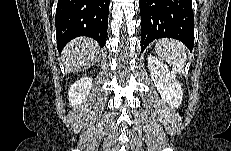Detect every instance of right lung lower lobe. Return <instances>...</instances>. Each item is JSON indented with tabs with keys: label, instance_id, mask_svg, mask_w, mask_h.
I'll use <instances>...</instances> for the list:
<instances>
[{
	"label": "right lung lower lobe",
	"instance_id": "obj_1",
	"mask_svg": "<svg viewBox=\"0 0 231 151\" xmlns=\"http://www.w3.org/2000/svg\"><path fill=\"white\" fill-rule=\"evenodd\" d=\"M109 0H58L55 27L58 51L72 39L87 36L106 43Z\"/></svg>",
	"mask_w": 231,
	"mask_h": 151
}]
</instances>
